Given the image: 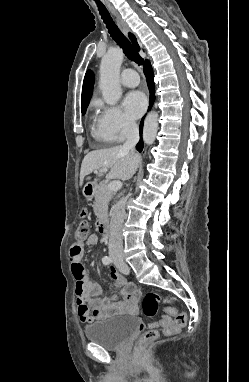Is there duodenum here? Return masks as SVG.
<instances>
[{"label":"duodenum","mask_w":249,"mask_h":382,"mask_svg":"<svg viewBox=\"0 0 249 382\" xmlns=\"http://www.w3.org/2000/svg\"><path fill=\"white\" fill-rule=\"evenodd\" d=\"M98 231L103 237H109L110 231H109V226L108 222L106 219H99L97 223Z\"/></svg>","instance_id":"410a0bca"}]
</instances>
